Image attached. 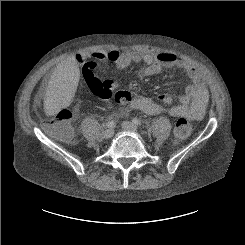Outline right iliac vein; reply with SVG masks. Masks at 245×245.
<instances>
[{"instance_id":"obj_1","label":"right iliac vein","mask_w":245,"mask_h":245,"mask_svg":"<svg viewBox=\"0 0 245 245\" xmlns=\"http://www.w3.org/2000/svg\"><path fill=\"white\" fill-rule=\"evenodd\" d=\"M104 137L106 138V139H110V138H112L113 137V135H114V130L113 129H106L105 131H104Z\"/></svg>"}]
</instances>
